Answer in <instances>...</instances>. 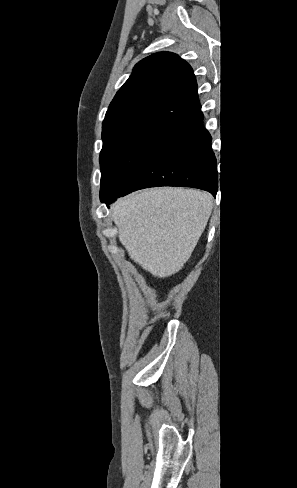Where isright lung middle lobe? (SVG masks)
<instances>
[{"label":"right lung middle lobe","instance_id":"dd1d6c3e","mask_svg":"<svg viewBox=\"0 0 297 488\" xmlns=\"http://www.w3.org/2000/svg\"><path fill=\"white\" fill-rule=\"evenodd\" d=\"M170 134L169 130L141 128L103 141L100 153L101 202L107 203L123 192Z\"/></svg>","mask_w":297,"mask_h":488}]
</instances>
